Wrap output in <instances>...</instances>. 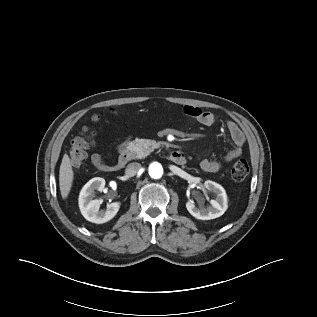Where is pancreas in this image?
<instances>
[{"label": "pancreas", "mask_w": 317, "mask_h": 317, "mask_svg": "<svg viewBox=\"0 0 317 317\" xmlns=\"http://www.w3.org/2000/svg\"><path fill=\"white\" fill-rule=\"evenodd\" d=\"M161 142L150 139H136L128 143L127 149L131 159H142L148 156L154 149L160 146Z\"/></svg>", "instance_id": "cf45deb5"}]
</instances>
